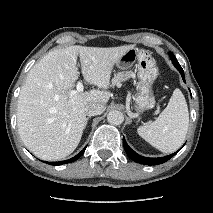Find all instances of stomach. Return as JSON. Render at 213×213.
Returning a JSON list of instances; mask_svg holds the SVG:
<instances>
[{
  "label": "stomach",
  "mask_w": 213,
  "mask_h": 213,
  "mask_svg": "<svg viewBox=\"0 0 213 213\" xmlns=\"http://www.w3.org/2000/svg\"><path fill=\"white\" fill-rule=\"evenodd\" d=\"M136 63L139 85L134 97L135 108L139 112L155 106L152 84L158 76L155 60L148 50L132 48L128 50L117 62L116 66L122 70L131 68Z\"/></svg>",
  "instance_id": "0dacf381"
}]
</instances>
